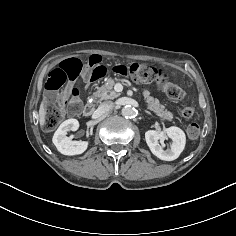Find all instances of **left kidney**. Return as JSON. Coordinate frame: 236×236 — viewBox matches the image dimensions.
<instances>
[{"instance_id": "1", "label": "left kidney", "mask_w": 236, "mask_h": 236, "mask_svg": "<svg viewBox=\"0 0 236 236\" xmlns=\"http://www.w3.org/2000/svg\"><path fill=\"white\" fill-rule=\"evenodd\" d=\"M166 137L172 140L170 148L164 150L159 144ZM145 139L151 152L161 160L173 161L179 157L184 150L186 137L185 133L178 127L164 128L163 130H148L145 132Z\"/></svg>"}]
</instances>
